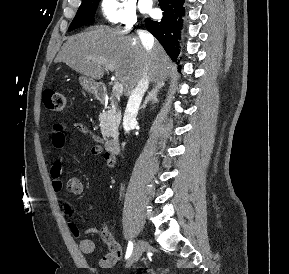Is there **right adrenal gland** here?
<instances>
[{
  "instance_id": "right-adrenal-gland-1",
  "label": "right adrenal gland",
  "mask_w": 289,
  "mask_h": 274,
  "mask_svg": "<svg viewBox=\"0 0 289 274\" xmlns=\"http://www.w3.org/2000/svg\"><path fill=\"white\" fill-rule=\"evenodd\" d=\"M163 86H164V84H156L154 86V88L151 90V92L148 94V96L146 97V99H145L144 103L142 104V106L140 107V109H145L148 102L158 103L159 100L157 98V95Z\"/></svg>"
}]
</instances>
